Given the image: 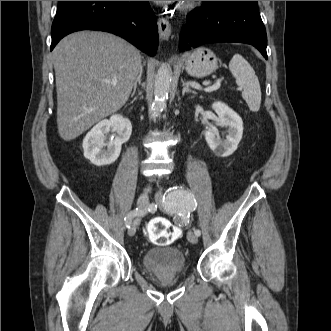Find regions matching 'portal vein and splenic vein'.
Segmentation results:
<instances>
[{
    "instance_id": "obj_1",
    "label": "portal vein and splenic vein",
    "mask_w": 331,
    "mask_h": 331,
    "mask_svg": "<svg viewBox=\"0 0 331 331\" xmlns=\"http://www.w3.org/2000/svg\"><path fill=\"white\" fill-rule=\"evenodd\" d=\"M116 83H117L116 81L112 82L113 85H116ZM220 86H221V81L218 80L212 86H209V87L205 88V92H212L214 90H217Z\"/></svg>"
}]
</instances>
